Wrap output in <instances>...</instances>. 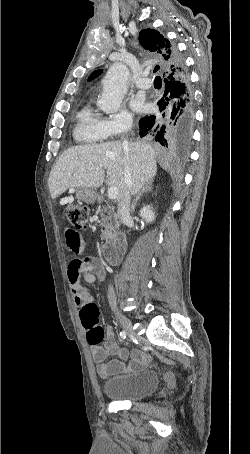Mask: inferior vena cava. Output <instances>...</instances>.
I'll return each mask as SVG.
<instances>
[{"label":"inferior vena cava","mask_w":250,"mask_h":454,"mask_svg":"<svg viewBox=\"0 0 250 454\" xmlns=\"http://www.w3.org/2000/svg\"><path fill=\"white\" fill-rule=\"evenodd\" d=\"M123 150L125 153V173H124V183H125V188H124V193L122 198L119 200L118 203V218L120 223H125L126 220L130 218V199H131V188H132V177L131 173L129 170V165H128V141L124 140L123 143ZM108 301L111 305L116 304V296L115 292L112 286H109L108 289Z\"/></svg>","instance_id":"1"}]
</instances>
